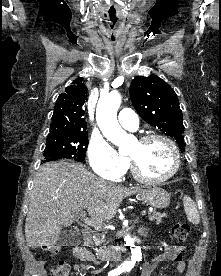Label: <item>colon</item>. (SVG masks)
<instances>
[{"label": "colon", "instance_id": "1", "mask_svg": "<svg viewBox=\"0 0 221 276\" xmlns=\"http://www.w3.org/2000/svg\"><path fill=\"white\" fill-rule=\"evenodd\" d=\"M172 232L175 239L179 243H183L188 238L190 226L187 223L178 222L173 226ZM46 250L51 253H55L57 252L58 248L55 246H48L46 247ZM69 271V265L63 261H59L51 267L50 274L51 276H69Z\"/></svg>", "mask_w": 221, "mask_h": 276}]
</instances>
